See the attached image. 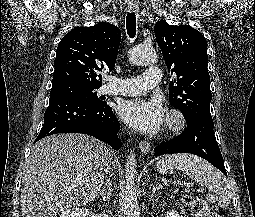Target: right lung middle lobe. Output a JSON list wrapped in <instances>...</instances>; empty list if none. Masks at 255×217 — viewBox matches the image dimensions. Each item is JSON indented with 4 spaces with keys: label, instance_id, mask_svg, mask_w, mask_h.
<instances>
[{
    "label": "right lung middle lobe",
    "instance_id": "right-lung-middle-lobe-1",
    "mask_svg": "<svg viewBox=\"0 0 255 217\" xmlns=\"http://www.w3.org/2000/svg\"><path fill=\"white\" fill-rule=\"evenodd\" d=\"M97 88L99 87H89L78 84L60 85L52 87L50 97L56 95L74 96L95 105H105L106 102L103 101L102 97H98L94 91Z\"/></svg>",
    "mask_w": 255,
    "mask_h": 217
}]
</instances>
